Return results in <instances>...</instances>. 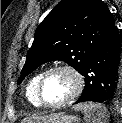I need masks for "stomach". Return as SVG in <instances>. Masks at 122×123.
I'll list each match as a JSON object with an SVG mask.
<instances>
[{
    "mask_svg": "<svg viewBox=\"0 0 122 123\" xmlns=\"http://www.w3.org/2000/svg\"><path fill=\"white\" fill-rule=\"evenodd\" d=\"M44 123H80V119L73 115L55 113L49 115L48 119Z\"/></svg>",
    "mask_w": 122,
    "mask_h": 123,
    "instance_id": "stomach-1",
    "label": "stomach"
}]
</instances>
